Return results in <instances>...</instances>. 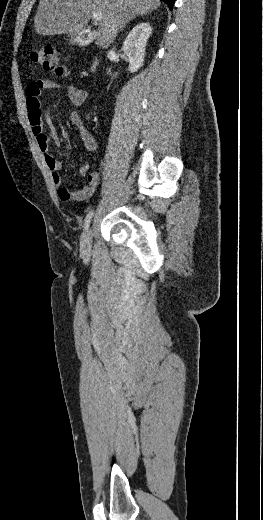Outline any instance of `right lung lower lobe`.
I'll return each mask as SVG.
<instances>
[{
  "instance_id": "1",
  "label": "right lung lower lobe",
  "mask_w": 263,
  "mask_h": 520,
  "mask_svg": "<svg viewBox=\"0 0 263 520\" xmlns=\"http://www.w3.org/2000/svg\"><path fill=\"white\" fill-rule=\"evenodd\" d=\"M162 1L166 2L170 9L173 8V4H174L175 0H162Z\"/></svg>"
}]
</instances>
